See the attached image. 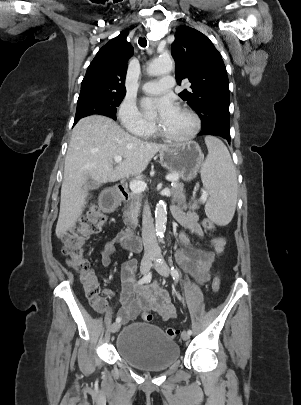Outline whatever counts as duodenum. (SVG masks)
Listing matches in <instances>:
<instances>
[{"mask_svg": "<svg viewBox=\"0 0 301 405\" xmlns=\"http://www.w3.org/2000/svg\"><path fill=\"white\" fill-rule=\"evenodd\" d=\"M130 193L125 186H119L117 190H104L99 195L97 206L100 213H116L124 201L129 199ZM123 246L125 249L139 252L142 249L140 237L135 233L134 227L129 225L123 230Z\"/></svg>", "mask_w": 301, "mask_h": 405, "instance_id": "1", "label": "duodenum"}]
</instances>
